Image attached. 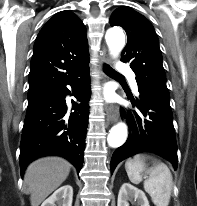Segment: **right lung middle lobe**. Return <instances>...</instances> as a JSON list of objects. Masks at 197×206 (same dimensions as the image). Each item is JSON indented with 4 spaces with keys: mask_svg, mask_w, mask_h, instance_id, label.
Segmentation results:
<instances>
[{
    "mask_svg": "<svg viewBox=\"0 0 197 206\" xmlns=\"http://www.w3.org/2000/svg\"><path fill=\"white\" fill-rule=\"evenodd\" d=\"M53 92L54 90L28 91V106L41 101Z\"/></svg>",
    "mask_w": 197,
    "mask_h": 206,
    "instance_id": "dd1d6c3e",
    "label": "right lung middle lobe"
}]
</instances>
